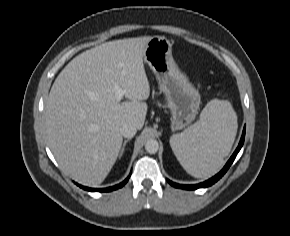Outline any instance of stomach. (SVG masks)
<instances>
[{"label":"stomach","mask_w":290,"mask_h":236,"mask_svg":"<svg viewBox=\"0 0 290 236\" xmlns=\"http://www.w3.org/2000/svg\"><path fill=\"white\" fill-rule=\"evenodd\" d=\"M143 59L153 71L165 96L171 112V129L176 131L187 127L198 113L201 97L175 63L172 44L164 36L151 37Z\"/></svg>","instance_id":"0dacf381"}]
</instances>
